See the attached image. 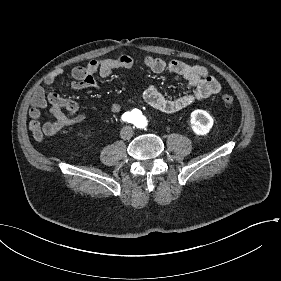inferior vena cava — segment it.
I'll list each match as a JSON object with an SVG mask.
<instances>
[{"mask_svg": "<svg viewBox=\"0 0 281 281\" xmlns=\"http://www.w3.org/2000/svg\"><path fill=\"white\" fill-rule=\"evenodd\" d=\"M132 135H133V130L130 126H125L120 131V136L124 140L130 139Z\"/></svg>", "mask_w": 281, "mask_h": 281, "instance_id": "1", "label": "inferior vena cava"}]
</instances>
